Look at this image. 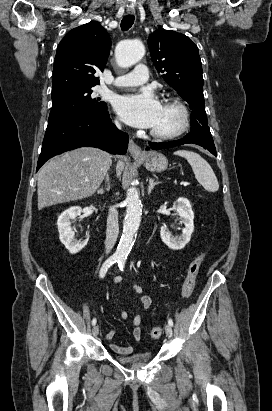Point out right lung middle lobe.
<instances>
[{
    "label": "right lung middle lobe",
    "instance_id": "obj_1",
    "mask_svg": "<svg viewBox=\"0 0 272 411\" xmlns=\"http://www.w3.org/2000/svg\"><path fill=\"white\" fill-rule=\"evenodd\" d=\"M92 92L91 87H88L68 92L58 98H52L53 106L48 123L73 114L103 111L106 108V103L100 102V98H94Z\"/></svg>",
    "mask_w": 272,
    "mask_h": 411
}]
</instances>
